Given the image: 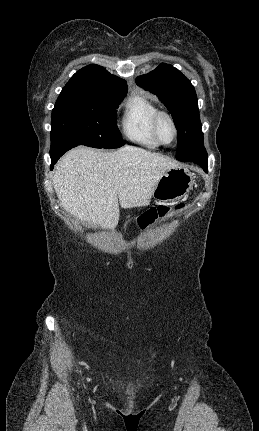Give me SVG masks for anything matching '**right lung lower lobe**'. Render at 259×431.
<instances>
[{
	"label": "right lung lower lobe",
	"instance_id": "right-lung-lower-lobe-1",
	"mask_svg": "<svg viewBox=\"0 0 259 431\" xmlns=\"http://www.w3.org/2000/svg\"><path fill=\"white\" fill-rule=\"evenodd\" d=\"M73 147L71 146H64L55 150H50V157H51V169L53 168V165L57 162V160L69 149Z\"/></svg>",
	"mask_w": 259,
	"mask_h": 431
}]
</instances>
